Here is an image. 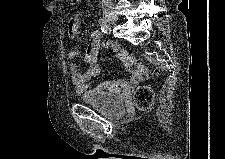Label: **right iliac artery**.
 <instances>
[{
	"mask_svg": "<svg viewBox=\"0 0 225 159\" xmlns=\"http://www.w3.org/2000/svg\"><path fill=\"white\" fill-rule=\"evenodd\" d=\"M99 24H100V27H101V30H102L103 33H105V34H110L111 33V27L107 23L106 20H104L103 18H100L99 19Z\"/></svg>",
	"mask_w": 225,
	"mask_h": 159,
	"instance_id": "right-iliac-artery-1",
	"label": "right iliac artery"
}]
</instances>
